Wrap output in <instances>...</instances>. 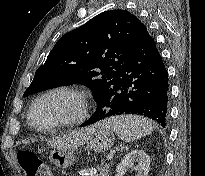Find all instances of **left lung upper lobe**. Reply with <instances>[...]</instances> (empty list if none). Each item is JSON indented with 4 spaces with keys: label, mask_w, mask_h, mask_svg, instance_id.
Here are the masks:
<instances>
[{
    "label": "left lung upper lobe",
    "mask_w": 205,
    "mask_h": 176,
    "mask_svg": "<svg viewBox=\"0 0 205 176\" xmlns=\"http://www.w3.org/2000/svg\"><path fill=\"white\" fill-rule=\"evenodd\" d=\"M146 29L126 10H110L95 16L56 42L24 96L78 82L89 87L99 102Z\"/></svg>",
    "instance_id": "5c2ea615"
}]
</instances>
